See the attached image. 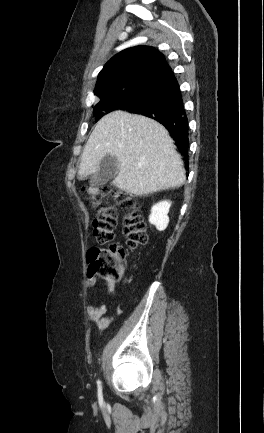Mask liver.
Returning <instances> with one entry per match:
<instances>
[{
    "instance_id": "6515ba94",
    "label": "liver",
    "mask_w": 264,
    "mask_h": 433,
    "mask_svg": "<svg viewBox=\"0 0 264 433\" xmlns=\"http://www.w3.org/2000/svg\"><path fill=\"white\" fill-rule=\"evenodd\" d=\"M106 155L118 161L112 184L129 194L146 196L178 188L186 179L168 131L145 116L114 111L101 118L83 149L80 178L95 174Z\"/></svg>"
}]
</instances>
